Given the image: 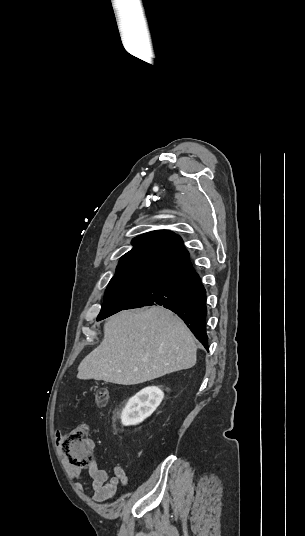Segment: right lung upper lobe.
Instances as JSON below:
<instances>
[{
  "label": "right lung upper lobe",
  "instance_id": "1",
  "mask_svg": "<svg viewBox=\"0 0 305 536\" xmlns=\"http://www.w3.org/2000/svg\"><path fill=\"white\" fill-rule=\"evenodd\" d=\"M132 244L134 247L121 257L114 277H167L192 266L182 239L171 231L148 232L134 238Z\"/></svg>",
  "mask_w": 305,
  "mask_h": 536
}]
</instances>
